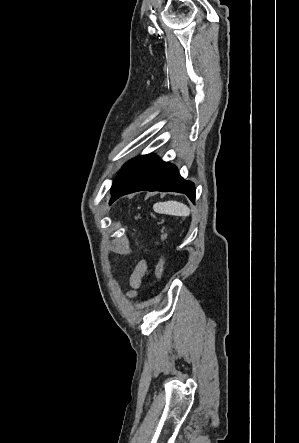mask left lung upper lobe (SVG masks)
I'll return each instance as SVG.
<instances>
[{
  "label": "left lung upper lobe",
  "mask_w": 299,
  "mask_h": 443,
  "mask_svg": "<svg viewBox=\"0 0 299 443\" xmlns=\"http://www.w3.org/2000/svg\"><path fill=\"white\" fill-rule=\"evenodd\" d=\"M145 156L147 155H143V156H139L135 159H132L130 161H128L122 168V170L119 172L118 176L116 177V179L113 182L112 188L114 186H116L119 181L126 175V173L133 167L135 166L139 161H141Z\"/></svg>",
  "instance_id": "1"
}]
</instances>
